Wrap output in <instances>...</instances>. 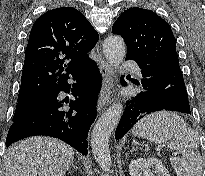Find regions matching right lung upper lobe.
I'll return each mask as SVG.
<instances>
[{
	"mask_svg": "<svg viewBox=\"0 0 205 176\" xmlns=\"http://www.w3.org/2000/svg\"><path fill=\"white\" fill-rule=\"evenodd\" d=\"M97 41L98 33L75 8L41 15L29 35L18 99L48 92L79 72L92 61L87 53Z\"/></svg>",
	"mask_w": 205,
	"mask_h": 176,
	"instance_id": "cb5924a9",
	"label": "right lung upper lobe"
}]
</instances>
